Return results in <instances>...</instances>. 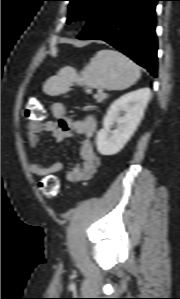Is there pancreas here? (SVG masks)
Instances as JSON below:
<instances>
[{
  "label": "pancreas",
  "mask_w": 180,
  "mask_h": 299,
  "mask_svg": "<svg viewBox=\"0 0 180 299\" xmlns=\"http://www.w3.org/2000/svg\"><path fill=\"white\" fill-rule=\"evenodd\" d=\"M107 94L106 93H102V92H99L97 95H95V98L98 100V101H103L104 99L107 98Z\"/></svg>",
  "instance_id": "pancreas-1"
}]
</instances>
